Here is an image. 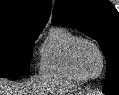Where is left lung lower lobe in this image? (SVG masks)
Masks as SVG:
<instances>
[{"label":"left lung lower lobe","instance_id":"0a47b994","mask_svg":"<svg viewBox=\"0 0 119 95\" xmlns=\"http://www.w3.org/2000/svg\"><path fill=\"white\" fill-rule=\"evenodd\" d=\"M104 93L109 95H119V94H110L111 92H104Z\"/></svg>","mask_w":119,"mask_h":95}]
</instances>
